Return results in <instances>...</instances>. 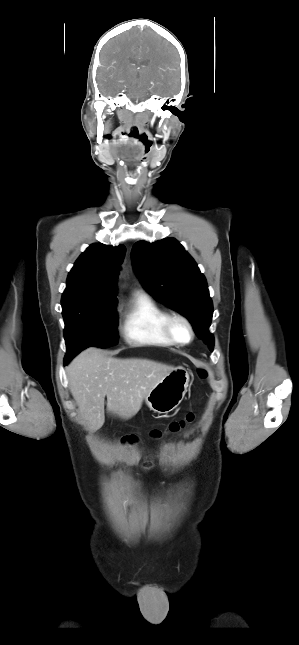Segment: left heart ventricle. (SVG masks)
I'll list each match as a JSON object with an SVG mask.
<instances>
[{"label": "left heart ventricle", "instance_id": "left-heart-ventricle-1", "mask_svg": "<svg viewBox=\"0 0 299 645\" xmlns=\"http://www.w3.org/2000/svg\"><path fill=\"white\" fill-rule=\"evenodd\" d=\"M174 332L180 340H187L189 337V332L186 326L181 322H176L173 325Z\"/></svg>", "mask_w": 299, "mask_h": 645}]
</instances>
